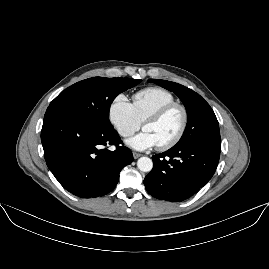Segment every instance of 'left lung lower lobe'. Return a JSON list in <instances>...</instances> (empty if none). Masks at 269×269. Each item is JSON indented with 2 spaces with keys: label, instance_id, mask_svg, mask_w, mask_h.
I'll use <instances>...</instances> for the list:
<instances>
[{
  "label": "left lung lower lobe",
  "instance_id": "0a47b994",
  "mask_svg": "<svg viewBox=\"0 0 269 269\" xmlns=\"http://www.w3.org/2000/svg\"><path fill=\"white\" fill-rule=\"evenodd\" d=\"M221 145L200 142L175 145L154 155L153 169L145 177L147 192L157 199L183 201L198 192L213 176Z\"/></svg>",
  "mask_w": 269,
  "mask_h": 269
}]
</instances>
